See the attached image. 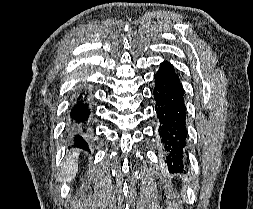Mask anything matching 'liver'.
Returning a JSON list of instances; mask_svg holds the SVG:
<instances>
[{
	"instance_id": "obj_1",
	"label": "liver",
	"mask_w": 253,
	"mask_h": 209,
	"mask_svg": "<svg viewBox=\"0 0 253 209\" xmlns=\"http://www.w3.org/2000/svg\"><path fill=\"white\" fill-rule=\"evenodd\" d=\"M78 152L73 151L72 153L70 152L69 155L66 157V161L63 164L62 167V174H61V180L66 183L71 181L77 171H78Z\"/></svg>"
}]
</instances>
